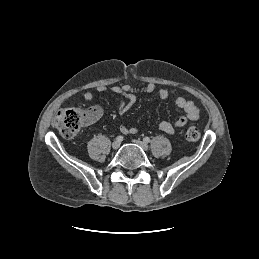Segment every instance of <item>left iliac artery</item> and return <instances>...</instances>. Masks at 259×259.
Instances as JSON below:
<instances>
[{
    "label": "left iliac artery",
    "instance_id": "obj_1",
    "mask_svg": "<svg viewBox=\"0 0 259 259\" xmlns=\"http://www.w3.org/2000/svg\"><path fill=\"white\" fill-rule=\"evenodd\" d=\"M143 141H144L145 143H149V142H150V138H149V137H145V138L143 139Z\"/></svg>",
    "mask_w": 259,
    "mask_h": 259
}]
</instances>
